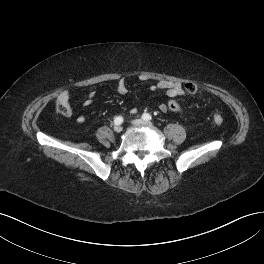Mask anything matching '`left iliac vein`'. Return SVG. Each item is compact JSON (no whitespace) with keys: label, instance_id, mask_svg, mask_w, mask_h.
I'll list each match as a JSON object with an SVG mask.
<instances>
[{"label":"left iliac vein","instance_id":"1","mask_svg":"<svg viewBox=\"0 0 264 264\" xmlns=\"http://www.w3.org/2000/svg\"><path fill=\"white\" fill-rule=\"evenodd\" d=\"M132 123L134 125H137V126H146V125H151L152 123L149 122V121H145V120H142V119H135L132 121Z\"/></svg>","mask_w":264,"mask_h":264}]
</instances>
